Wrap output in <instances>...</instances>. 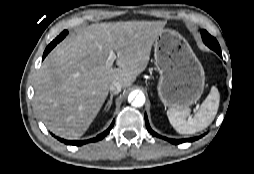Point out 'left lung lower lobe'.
<instances>
[{"mask_svg":"<svg viewBox=\"0 0 254 174\" xmlns=\"http://www.w3.org/2000/svg\"><path fill=\"white\" fill-rule=\"evenodd\" d=\"M218 54L221 56V52H218ZM145 122H146V127H147V130L153 135V136H159L157 133H155L151 128H150V125H149V122H148V118H147V115L145 114ZM204 136V135H202ZM201 138V136H198V137H194V138H188V139H181V140H175V139H169V138H165V140L171 142L172 144H180V143H183V142H192V141H195L197 139Z\"/></svg>","mask_w":254,"mask_h":174,"instance_id":"obj_1","label":"left lung lower lobe"}]
</instances>
